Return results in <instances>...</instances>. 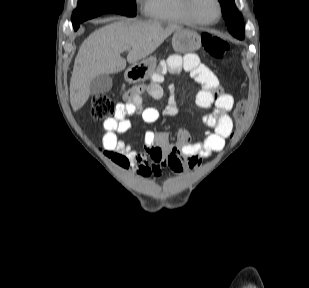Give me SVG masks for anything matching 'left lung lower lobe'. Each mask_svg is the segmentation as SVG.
I'll use <instances>...</instances> for the list:
<instances>
[{"mask_svg":"<svg viewBox=\"0 0 309 288\" xmlns=\"http://www.w3.org/2000/svg\"><path fill=\"white\" fill-rule=\"evenodd\" d=\"M233 36H235L238 39H243L244 38V36H239V35H233Z\"/></svg>","mask_w":309,"mask_h":288,"instance_id":"1","label":"left lung lower lobe"}]
</instances>
